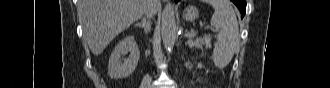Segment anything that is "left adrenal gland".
Instances as JSON below:
<instances>
[{
	"label": "left adrenal gland",
	"instance_id": "1",
	"mask_svg": "<svg viewBox=\"0 0 330 88\" xmlns=\"http://www.w3.org/2000/svg\"><path fill=\"white\" fill-rule=\"evenodd\" d=\"M190 38H189V40L185 43V45H188L190 48H192L193 46L190 44Z\"/></svg>",
	"mask_w": 330,
	"mask_h": 88
}]
</instances>
